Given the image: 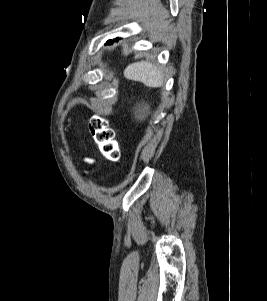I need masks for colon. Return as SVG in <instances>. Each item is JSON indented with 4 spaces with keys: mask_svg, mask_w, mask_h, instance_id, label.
<instances>
[{
    "mask_svg": "<svg viewBox=\"0 0 267 301\" xmlns=\"http://www.w3.org/2000/svg\"><path fill=\"white\" fill-rule=\"evenodd\" d=\"M89 131L101 154L110 161H118L121 157L120 146L114 129L109 122L100 116H93L89 121Z\"/></svg>",
    "mask_w": 267,
    "mask_h": 301,
    "instance_id": "colon-1",
    "label": "colon"
}]
</instances>
